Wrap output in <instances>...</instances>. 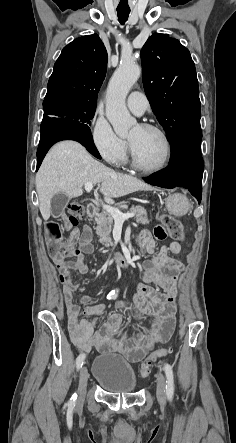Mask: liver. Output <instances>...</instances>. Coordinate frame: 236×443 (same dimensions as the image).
Here are the masks:
<instances>
[{"label":"liver","mask_w":236,"mask_h":443,"mask_svg":"<svg viewBox=\"0 0 236 443\" xmlns=\"http://www.w3.org/2000/svg\"><path fill=\"white\" fill-rule=\"evenodd\" d=\"M87 182L101 183L100 192L108 202L136 191L150 190L141 180L115 172L95 160L86 149L75 141H63L54 145L44 158L36 174V190L43 219H49L52 197L61 192L69 198L83 194Z\"/></svg>","instance_id":"liver-1"}]
</instances>
